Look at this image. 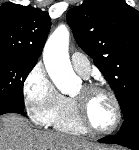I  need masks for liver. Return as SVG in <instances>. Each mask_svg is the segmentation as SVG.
<instances>
[{
  "mask_svg": "<svg viewBox=\"0 0 139 150\" xmlns=\"http://www.w3.org/2000/svg\"><path fill=\"white\" fill-rule=\"evenodd\" d=\"M99 148L68 134L32 129L16 114L0 117V150H95Z\"/></svg>",
  "mask_w": 139,
  "mask_h": 150,
  "instance_id": "liver-1",
  "label": "liver"
}]
</instances>
